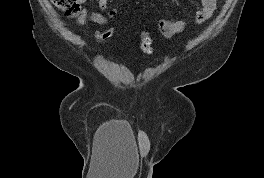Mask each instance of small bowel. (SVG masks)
<instances>
[{
  "instance_id": "small-bowel-1",
  "label": "small bowel",
  "mask_w": 264,
  "mask_h": 178,
  "mask_svg": "<svg viewBox=\"0 0 264 178\" xmlns=\"http://www.w3.org/2000/svg\"><path fill=\"white\" fill-rule=\"evenodd\" d=\"M84 6L81 14L77 18V24L84 26L88 22H92L97 25H104L107 22V18H113L117 15L118 10L116 8H109V0H98L100 12H89L85 8L87 0H80ZM216 9V0H201V7L195 14V23L202 24L210 19ZM157 28L162 36L165 38H171L186 28V22L184 20H171L167 18H159L157 20Z\"/></svg>"
}]
</instances>
